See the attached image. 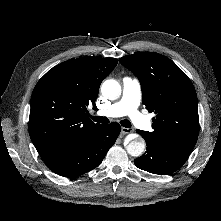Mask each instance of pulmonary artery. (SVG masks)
<instances>
[{
    "mask_svg": "<svg viewBox=\"0 0 221 221\" xmlns=\"http://www.w3.org/2000/svg\"><path fill=\"white\" fill-rule=\"evenodd\" d=\"M121 99L98 112V115L106 117L129 116L135 126L147 130L151 126L150 120L138 110L141 101V84L138 79L125 77L122 81Z\"/></svg>",
    "mask_w": 221,
    "mask_h": 221,
    "instance_id": "1",
    "label": "pulmonary artery"
}]
</instances>
